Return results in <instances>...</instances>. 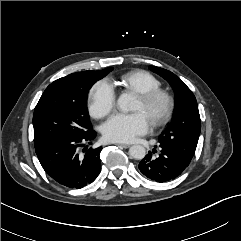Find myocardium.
Here are the masks:
<instances>
[{"label":"myocardium","instance_id":"myocardium-1","mask_svg":"<svg viewBox=\"0 0 241 241\" xmlns=\"http://www.w3.org/2000/svg\"><path fill=\"white\" fill-rule=\"evenodd\" d=\"M137 98L142 101L147 109H152L159 102L163 103L162 112L151 120L153 126L161 127L171 120L175 108V100L168 91L159 88L137 94Z\"/></svg>","mask_w":241,"mask_h":241}]
</instances>
